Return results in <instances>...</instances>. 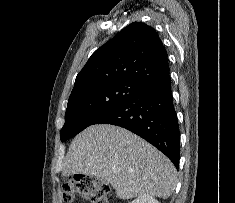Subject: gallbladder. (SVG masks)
I'll list each match as a JSON object with an SVG mask.
<instances>
[{
  "instance_id": "1",
  "label": "gallbladder",
  "mask_w": 235,
  "mask_h": 203,
  "mask_svg": "<svg viewBox=\"0 0 235 203\" xmlns=\"http://www.w3.org/2000/svg\"><path fill=\"white\" fill-rule=\"evenodd\" d=\"M108 181L107 180H101V185H107Z\"/></svg>"
}]
</instances>
